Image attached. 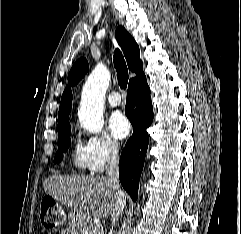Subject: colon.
I'll return each instance as SVG.
<instances>
[{"label":"colon","mask_w":241,"mask_h":234,"mask_svg":"<svg viewBox=\"0 0 241 234\" xmlns=\"http://www.w3.org/2000/svg\"><path fill=\"white\" fill-rule=\"evenodd\" d=\"M40 219L47 228H56L64 221V213L56 202L47 197L41 203Z\"/></svg>","instance_id":"5ec220e1"}]
</instances>
